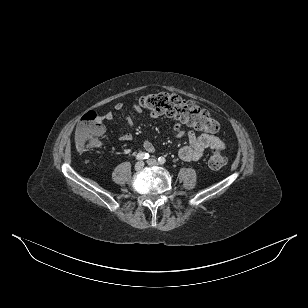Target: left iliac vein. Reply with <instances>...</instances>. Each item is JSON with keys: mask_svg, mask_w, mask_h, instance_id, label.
<instances>
[{"mask_svg": "<svg viewBox=\"0 0 308 308\" xmlns=\"http://www.w3.org/2000/svg\"><path fill=\"white\" fill-rule=\"evenodd\" d=\"M147 163H148V165H150V166H156V165H158V161H157L156 159H154V158L149 159V160L147 161Z\"/></svg>", "mask_w": 308, "mask_h": 308, "instance_id": "left-iliac-vein-1", "label": "left iliac vein"}]
</instances>
